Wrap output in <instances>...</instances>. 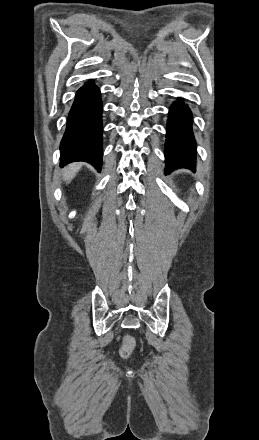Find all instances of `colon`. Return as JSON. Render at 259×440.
Instances as JSON below:
<instances>
[{"label": "colon", "mask_w": 259, "mask_h": 440, "mask_svg": "<svg viewBox=\"0 0 259 440\" xmlns=\"http://www.w3.org/2000/svg\"><path fill=\"white\" fill-rule=\"evenodd\" d=\"M135 348V340L131 336H125L122 341L119 354L122 359H128Z\"/></svg>", "instance_id": "obj_1"}]
</instances>
